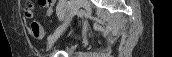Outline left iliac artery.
Instances as JSON below:
<instances>
[{
    "mask_svg": "<svg viewBox=\"0 0 172 57\" xmlns=\"http://www.w3.org/2000/svg\"><path fill=\"white\" fill-rule=\"evenodd\" d=\"M65 2H66L65 0H59V3H58L57 8H56V12H57L58 16H61V14H62L61 8L65 4Z\"/></svg>",
    "mask_w": 172,
    "mask_h": 57,
    "instance_id": "1",
    "label": "left iliac artery"
}]
</instances>
